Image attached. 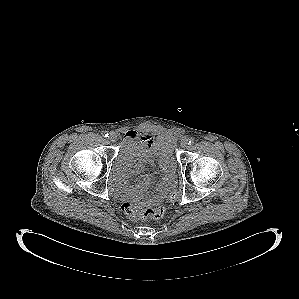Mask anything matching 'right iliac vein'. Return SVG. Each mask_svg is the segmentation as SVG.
<instances>
[{
	"label": "right iliac vein",
	"instance_id": "63e3f726",
	"mask_svg": "<svg viewBox=\"0 0 299 299\" xmlns=\"http://www.w3.org/2000/svg\"><path fill=\"white\" fill-rule=\"evenodd\" d=\"M109 139H110V141L115 142V141L117 140V135H116V133L111 132V133L109 134Z\"/></svg>",
	"mask_w": 299,
	"mask_h": 299
}]
</instances>
